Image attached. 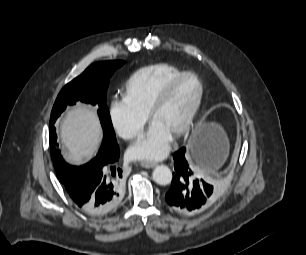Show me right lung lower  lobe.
Listing matches in <instances>:
<instances>
[{
  "label": "right lung lower lobe",
  "instance_id": "1",
  "mask_svg": "<svg viewBox=\"0 0 306 255\" xmlns=\"http://www.w3.org/2000/svg\"><path fill=\"white\" fill-rule=\"evenodd\" d=\"M119 146L102 144L97 156L82 166L64 162L58 177L71 199L84 211L103 215L122 198V175L117 168Z\"/></svg>",
  "mask_w": 306,
  "mask_h": 255
}]
</instances>
